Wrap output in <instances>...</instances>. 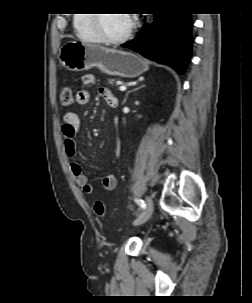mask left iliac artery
Returning a JSON list of instances; mask_svg holds the SVG:
<instances>
[{"instance_id": "44dca946", "label": "left iliac artery", "mask_w": 252, "mask_h": 303, "mask_svg": "<svg viewBox=\"0 0 252 303\" xmlns=\"http://www.w3.org/2000/svg\"><path fill=\"white\" fill-rule=\"evenodd\" d=\"M136 203L142 208L145 209L146 208V204L143 200L141 199H135Z\"/></svg>"}]
</instances>
